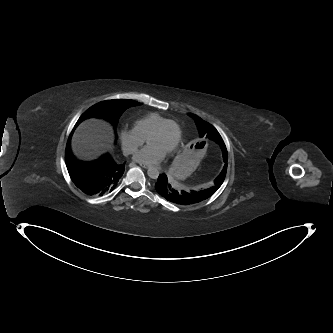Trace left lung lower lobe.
<instances>
[{"mask_svg":"<svg viewBox=\"0 0 333 333\" xmlns=\"http://www.w3.org/2000/svg\"><path fill=\"white\" fill-rule=\"evenodd\" d=\"M221 144L224 145V143ZM155 189L163 198L179 205H192L201 202L211 197L218 190L216 185L207 189H178L169 182L165 173L159 175L158 181L155 183Z\"/></svg>","mask_w":333,"mask_h":333,"instance_id":"1","label":"left lung lower lobe"}]
</instances>
